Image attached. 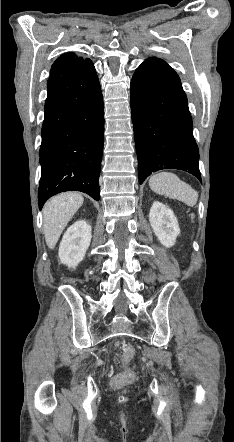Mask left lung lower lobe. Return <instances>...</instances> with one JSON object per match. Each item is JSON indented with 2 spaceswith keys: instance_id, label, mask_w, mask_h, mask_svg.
I'll use <instances>...</instances> for the list:
<instances>
[{
  "instance_id": "left-lung-lower-lobe-1",
  "label": "left lung lower lobe",
  "mask_w": 234,
  "mask_h": 442,
  "mask_svg": "<svg viewBox=\"0 0 234 442\" xmlns=\"http://www.w3.org/2000/svg\"><path fill=\"white\" fill-rule=\"evenodd\" d=\"M131 113L140 184L152 172L170 168L201 181L187 97L178 75L164 61L149 58L136 69Z\"/></svg>"
}]
</instances>
